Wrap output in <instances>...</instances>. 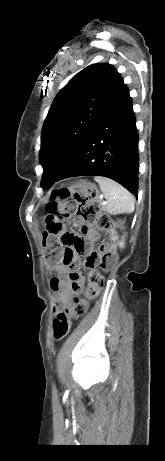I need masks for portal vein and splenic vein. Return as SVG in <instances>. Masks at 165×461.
<instances>
[{"label": "portal vein and splenic vein", "mask_w": 165, "mask_h": 461, "mask_svg": "<svg viewBox=\"0 0 165 461\" xmlns=\"http://www.w3.org/2000/svg\"><path fill=\"white\" fill-rule=\"evenodd\" d=\"M105 203H106L105 201L102 202V204H105Z\"/></svg>", "instance_id": "obj_1"}]
</instances>
